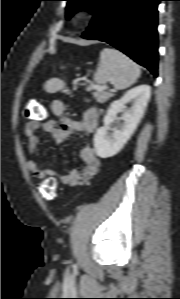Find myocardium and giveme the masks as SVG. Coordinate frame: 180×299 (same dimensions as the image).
<instances>
[{"instance_id": "1", "label": "myocardium", "mask_w": 180, "mask_h": 299, "mask_svg": "<svg viewBox=\"0 0 180 299\" xmlns=\"http://www.w3.org/2000/svg\"><path fill=\"white\" fill-rule=\"evenodd\" d=\"M89 16H90L89 8L80 7L73 13L71 22L75 26H80L87 21Z\"/></svg>"}]
</instances>
